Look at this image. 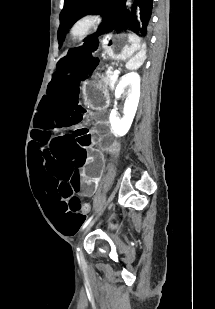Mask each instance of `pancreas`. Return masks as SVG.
<instances>
[{"label":"pancreas","instance_id":"cf45deb5","mask_svg":"<svg viewBox=\"0 0 215 309\" xmlns=\"http://www.w3.org/2000/svg\"><path fill=\"white\" fill-rule=\"evenodd\" d=\"M111 76H113L112 70L111 72H106V76H100V78L103 80L104 84H107V86H111V88H113L117 80H112Z\"/></svg>","mask_w":215,"mask_h":309}]
</instances>
